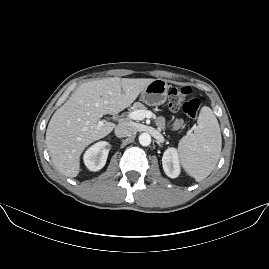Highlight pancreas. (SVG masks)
<instances>
[{
    "label": "pancreas",
    "instance_id": "1",
    "mask_svg": "<svg viewBox=\"0 0 269 269\" xmlns=\"http://www.w3.org/2000/svg\"><path fill=\"white\" fill-rule=\"evenodd\" d=\"M135 110H147V108L145 107V105H143L142 103L140 102H135L132 106V111H135Z\"/></svg>",
    "mask_w": 269,
    "mask_h": 269
}]
</instances>
